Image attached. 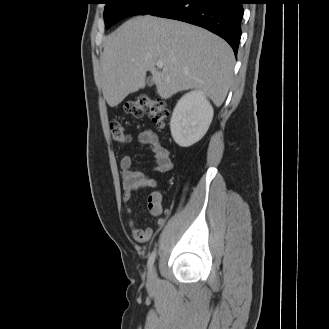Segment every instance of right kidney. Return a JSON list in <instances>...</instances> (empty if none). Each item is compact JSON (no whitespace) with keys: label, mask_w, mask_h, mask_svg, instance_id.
Here are the masks:
<instances>
[{"label":"right kidney","mask_w":329,"mask_h":329,"mask_svg":"<svg viewBox=\"0 0 329 329\" xmlns=\"http://www.w3.org/2000/svg\"><path fill=\"white\" fill-rule=\"evenodd\" d=\"M213 119V107L202 91H191L177 102L170 121L171 135L181 147L198 142Z\"/></svg>","instance_id":"obj_1"}]
</instances>
